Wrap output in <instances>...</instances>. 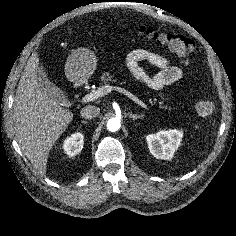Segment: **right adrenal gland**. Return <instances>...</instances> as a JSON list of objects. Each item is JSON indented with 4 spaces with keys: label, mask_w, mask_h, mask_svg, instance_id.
<instances>
[{
    "label": "right adrenal gland",
    "mask_w": 236,
    "mask_h": 236,
    "mask_svg": "<svg viewBox=\"0 0 236 236\" xmlns=\"http://www.w3.org/2000/svg\"><path fill=\"white\" fill-rule=\"evenodd\" d=\"M81 123H82V124H88V122H87V121H81Z\"/></svg>",
    "instance_id": "right-adrenal-gland-1"
}]
</instances>
